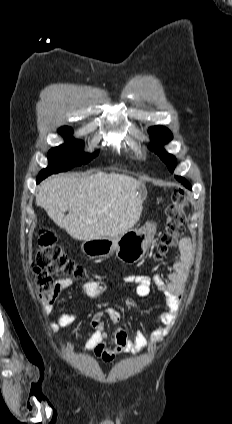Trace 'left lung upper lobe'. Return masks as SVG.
I'll list each match as a JSON object with an SVG mask.
<instances>
[{
    "label": "left lung upper lobe",
    "mask_w": 232,
    "mask_h": 424,
    "mask_svg": "<svg viewBox=\"0 0 232 424\" xmlns=\"http://www.w3.org/2000/svg\"><path fill=\"white\" fill-rule=\"evenodd\" d=\"M148 132L150 134L151 140L154 143L150 145V149L155 151L159 155V157L166 163L169 170L173 172L176 166V158L160 147L161 145L168 143L173 138L171 132L163 126L151 127L149 128ZM179 178L182 177L176 176L177 180Z\"/></svg>",
    "instance_id": "5c2ea615"
}]
</instances>
